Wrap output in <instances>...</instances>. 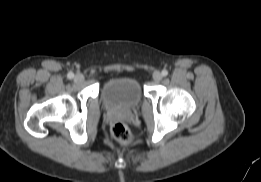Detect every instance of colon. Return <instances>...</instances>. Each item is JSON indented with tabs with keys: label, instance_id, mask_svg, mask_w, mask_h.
<instances>
[{
	"label": "colon",
	"instance_id": "1",
	"mask_svg": "<svg viewBox=\"0 0 261 182\" xmlns=\"http://www.w3.org/2000/svg\"><path fill=\"white\" fill-rule=\"evenodd\" d=\"M113 137L123 144H128L132 141V133L128 126L123 122H115L111 127Z\"/></svg>",
	"mask_w": 261,
	"mask_h": 182
}]
</instances>
